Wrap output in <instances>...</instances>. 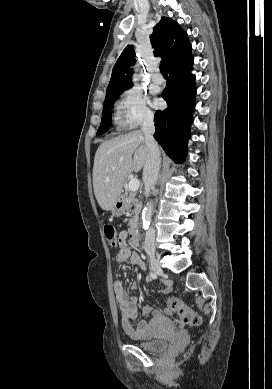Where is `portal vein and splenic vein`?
<instances>
[{
    "label": "portal vein and splenic vein",
    "mask_w": 272,
    "mask_h": 389,
    "mask_svg": "<svg viewBox=\"0 0 272 389\" xmlns=\"http://www.w3.org/2000/svg\"><path fill=\"white\" fill-rule=\"evenodd\" d=\"M139 180L136 178H133L129 181L128 188L130 191L135 192L139 189Z\"/></svg>",
    "instance_id": "1"
}]
</instances>
